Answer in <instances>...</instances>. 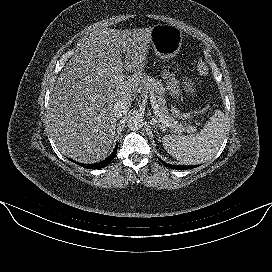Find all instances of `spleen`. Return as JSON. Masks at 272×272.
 <instances>
[{
  "label": "spleen",
  "instance_id": "obj_1",
  "mask_svg": "<svg viewBox=\"0 0 272 272\" xmlns=\"http://www.w3.org/2000/svg\"><path fill=\"white\" fill-rule=\"evenodd\" d=\"M225 130V115L217 110L196 135H165L162 143L164 149L182 164H201L217 153L225 137Z\"/></svg>",
  "mask_w": 272,
  "mask_h": 272
}]
</instances>
